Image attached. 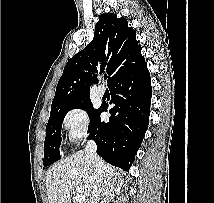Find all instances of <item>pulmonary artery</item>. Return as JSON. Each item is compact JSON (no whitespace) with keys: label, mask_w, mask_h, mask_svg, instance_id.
Segmentation results:
<instances>
[{"label":"pulmonary artery","mask_w":214,"mask_h":203,"mask_svg":"<svg viewBox=\"0 0 214 203\" xmlns=\"http://www.w3.org/2000/svg\"><path fill=\"white\" fill-rule=\"evenodd\" d=\"M97 93L101 97L104 96V94H105V88H104V86H102V85L99 86L98 89H97Z\"/></svg>","instance_id":"1"}]
</instances>
